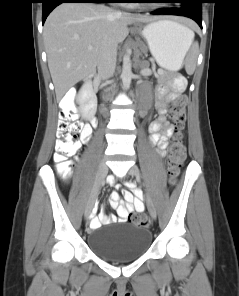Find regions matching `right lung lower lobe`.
Masks as SVG:
<instances>
[{
	"label": "right lung lower lobe",
	"mask_w": 239,
	"mask_h": 296,
	"mask_svg": "<svg viewBox=\"0 0 239 296\" xmlns=\"http://www.w3.org/2000/svg\"><path fill=\"white\" fill-rule=\"evenodd\" d=\"M110 0H42L43 12L42 22L44 23L49 13L61 3H109Z\"/></svg>",
	"instance_id": "right-lung-lower-lobe-1"
}]
</instances>
